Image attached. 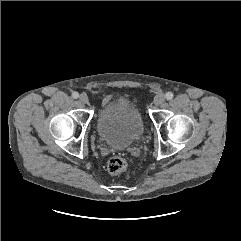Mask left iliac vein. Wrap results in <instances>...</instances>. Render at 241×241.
<instances>
[{
    "label": "left iliac vein",
    "instance_id": "left-iliac-vein-1",
    "mask_svg": "<svg viewBox=\"0 0 241 241\" xmlns=\"http://www.w3.org/2000/svg\"><path fill=\"white\" fill-rule=\"evenodd\" d=\"M164 100H165V96L163 94H158L154 98V104L155 105H160V104H162L164 102Z\"/></svg>",
    "mask_w": 241,
    "mask_h": 241
}]
</instances>
